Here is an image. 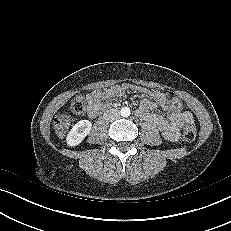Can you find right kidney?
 Returning <instances> with one entry per match:
<instances>
[{
    "mask_svg": "<svg viewBox=\"0 0 231 231\" xmlns=\"http://www.w3.org/2000/svg\"><path fill=\"white\" fill-rule=\"evenodd\" d=\"M92 123L89 120L78 121L69 131L66 142L69 146H77L89 134Z\"/></svg>",
    "mask_w": 231,
    "mask_h": 231,
    "instance_id": "1",
    "label": "right kidney"
}]
</instances>
